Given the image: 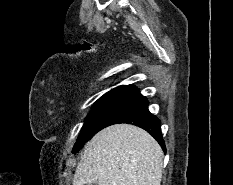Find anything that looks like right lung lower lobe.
Masks as SVG:
<instances>
[{
  "mask_svg": "<svg viewBox=\"0 0 233 185\" xmlns=\"http://www.w3.org/2000/svg\"><path fill=\"white\" fill-rule=\"evenodd\" d=\"M148 101L142 96L139 90L134 89L116 106L99 124L98 131L117 124L128 123L139 126L149 132L166 152L162 133L160 131V120L152 115L148 108Z\"/></svg>",
  "mask_w": 233,
  "mask_h": 185,
  "instance_id": "obj_1",
  "label": "right lung lower lobe"
}]
</instances>
